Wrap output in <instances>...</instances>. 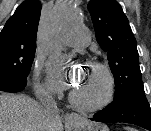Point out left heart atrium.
Instances as JSON below:
<instances>
[{
  "mask_svg": "<svg viewBox=\"0 0 151 131\" xmlns=\"http://www.w3.org/2000/svg\"><path fill=\"white\" fill-rule=\"evenodd\" d=\"M51 84L58 90L71 88L73 86V76L60 63H57L51 69Z\"/></svg>",
  "mask_w": 151,
  "mask_h": 131,
  "instance_id": "1",
  "label": "left heart atrium"
}]
</instances>
